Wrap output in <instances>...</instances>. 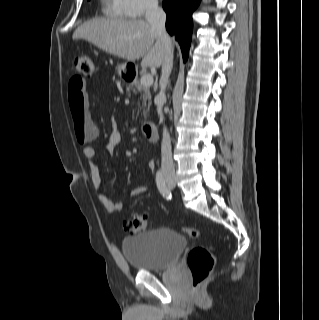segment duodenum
Listing matches in <instances>:
<instances>
[{
    "label": "duodenum",
    "instance_id": "obj_1",
    "mask_svg": "<svg viewBox=\"0 0 319 320\" xmlns=\"http://www.w3.org/2000/svg\"><path fill=\"white\" fill-rule=\"evenodd\" d=\"M143 133L149 142H155L158 137L157 128L154 123H146L143 125Z\"/></svg>",
    "mask_w": 319,
    "mask_h": 320
}]
</instances>
